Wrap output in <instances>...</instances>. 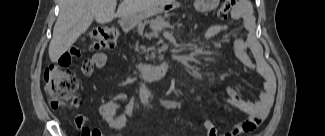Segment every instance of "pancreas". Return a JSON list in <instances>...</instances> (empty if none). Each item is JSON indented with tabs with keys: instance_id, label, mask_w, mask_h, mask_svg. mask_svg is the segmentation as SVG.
I'll return each mask as SVG.
<instances>
[{
	"instance_id": "pancreas-1",
	"label": "pancreas",
	"mask_w": 325,
	"mask_h": 136,
	"mask_svg": "<svg viewBox=\"0 0 325 136\" xmlns=\"http://www.w3.org/2000/svg\"><path fill=\"white\" fill-rule=\"evenodd\" d=\"M166 18H167V23L169 24H177L179 23H184V19L187 18V13L186 12H173L172 10L170 12L166 13ZM149 21L144 22L143 24H138L137 25V32L140 34H143V37L145 39H151L153 36H155L156 34L154 32H147V28Z\"/></svg>"
}]
</instances>
